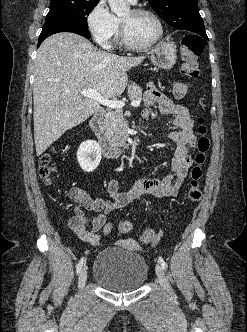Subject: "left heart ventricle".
Returning <instances> with one entry per match:
<instances>
[{
    "label": "left heart ventricle",
    "mask_w": 247,
    "mask_h": 332,
    "mask_svg": "<svg viewBox=\"0 0 247 332\" xmlns=\"http://www.w3.org/2000/svg\"><path fill=\"white\" fill-rule=\"evenodd\" d=\"M121 20L125 23L131 40L136 44H147L158 35V25L149 15H137L130 10Z\"/></svg>",
    "instance_id": "1"
}]
</instances>
